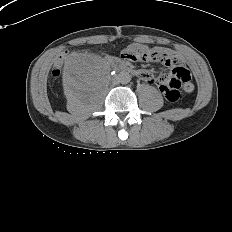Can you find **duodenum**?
<instances>
[{
	"label": "duodenum",
	"instance_id": "duodenum-1",
	"mask_svg": "<svg viewBox=\"0 0 232 232\" xmlns=\"http://www.w3.org/2000/svg\"><path fill=\"white\" fill-rule=\"evenodd\" d=\"M113 65L118 72L136 75V71L125 63L114 62Z\"/></svg>",
	"mask_w": 232,
	"mask_h": 232
}]
</instances>
